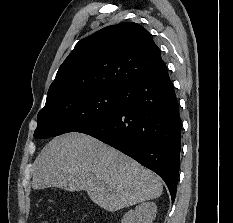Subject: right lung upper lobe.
Returning a JSON list of instances; mask_svg holds the SVG:
<instances>
[{
  "instance_id": "cb5924a9",
  "label": "right lung upper lobe",
  "mask_w": 233,
  "mask_h": 223,
  "mask_svg": "<svg viewBox=\"0 0 233 223\" xmlns=\"http://www.w3.org/2000/svg\"><path fill=\"white\" fill-rule=\"evenodd\" d=\"M160 49L141 25L123 22L80 40L60 66L46 103L92 88H122L165 67Z\"/></svg>"
}]
</instances>
